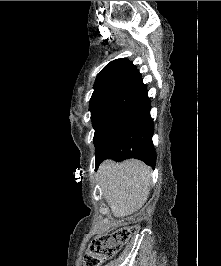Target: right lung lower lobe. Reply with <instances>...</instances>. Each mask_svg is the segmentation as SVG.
<instances>
[{"instance_id": "right-lung-lower-lobe-1", "label": "right lung lower lobe", "mask_w": 221, "mask_h": 266, "mask_svg": "<svg viewBox=\"0 0 221 266\" xmlns=\"http://www.w3.org/2000/svg\"><path fill=\"white\" fill-rule=\"evenodd\" d=\"M150 108V99L144 87L96 150V168L108 158L118 162L136 158L152 168L155 167L156 152L152 143L154 124L150 116Z\"/></svg>"}]
</instances>
